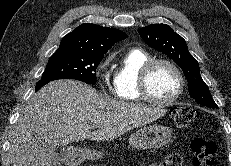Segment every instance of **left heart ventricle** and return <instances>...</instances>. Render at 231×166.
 Listing matches in <instances>:
<instances>
[{
    "label": "left heart ventricle",
    "mask_w": 231,
    "mask_h": 166,
    "mask_svg": "<svg viewBox=\"0 0 231 166\" xmlns=\"http://www.w3.org/2000/svg\"><path fill=\"white\" fill-rule=\"evenodd\" d=\"M178 84L175 72L165 64L155 66L148 78L149 91L158 99L171 97L176 92Z\"/></svg>",
    "instance_id": "obj_1"
}]
</instances>
